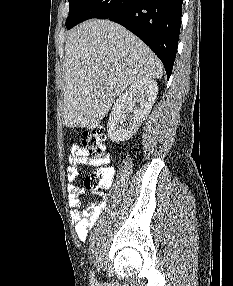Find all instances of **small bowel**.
I'll return each mask as SVG.
<instances>
[{
	"instance_id": "small-bowel-1",
	"label": "small bowel",
	"mask_w": 233,
	"mask_h": 286,
	"mask_svg": "<svg viewBox=\"0 0 233 286\" xmlns=\"http://www.w3.org/2000/svg\"><path fill=\"white\" fill-rule=\"evenodd\" d=\"M106 162L107 160L100 161L90 158L86 150L77 144H74L71 148L69 155L70 165L67 168V190L69 193V205L72 208L70 216L76 235L82 241L86 239L89 229L102 214L106 201L83 203L81 198L85 190L76 183L79 168L82 166H99ZM110 169L114 173V169L112 167Z\"/></svg>"
}]
</instances>
